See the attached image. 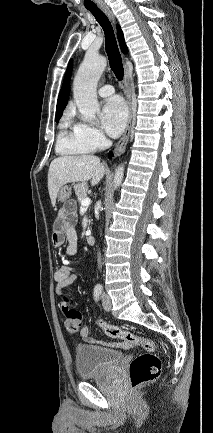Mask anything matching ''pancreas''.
I'll return each instance as SVG.
<instances>
[{"label": "pancreas", "instance_id": "1", "mask_svg": "<svg viewBox=\"0 0 213 433\" xmlns=\"http://www.w3.org/2000/svg\"><path fill=\"white\" fill-rule=\"evenodd\" d=\"M74 191L77 196L78 202H81L82 199L87 197L88 185L86 182L75 184Z\"/></svg>", "mask_w": 213, "mask_h": 433}]
</instances>
